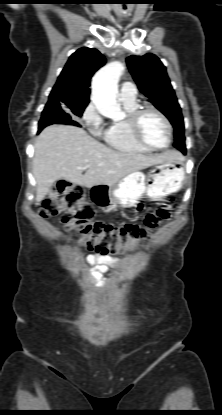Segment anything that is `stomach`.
Here are the masks:
<instances>
[{
    "instance_id": "stomach-1",
    "label": "stomach",
    "mask_w": 222,
    "mask_h": 415,
    "mask_svg": "<svg viewBox=\"0 0 222 415\" xmlns=\"http://www.w3.org/2000/svg\"><path fill=\"white\" fill-rule=\"evenodd\" d=\"M185 165L183 159L167 160L154 165L147 174L133 172L114 185H96L90 188L93 202L101 208H130L146 195L154 201L177 192L183 186Z\"/></svg>"
}]
</instances>
